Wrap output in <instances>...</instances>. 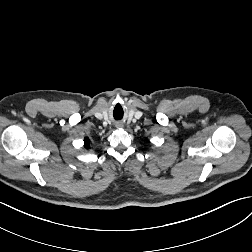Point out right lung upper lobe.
Listing matches in <instances>:
<instances>
[{
    "mask_svg": "<svg viewBox=\"0 0 252 252\" xmlns=\"http://www.w3.org/2000/svg\"><path fill=\"white\" fill-rule=\"evenodd\" d=\"M84 142H85V147L88 148L90 140L88 138H85Z\"/></svg>",
    "mask_w": 252,
    "mask_h": 252,
    "instance_id": "obj_1",
    "label": "right lung upper lobe"
}]
</instances>
